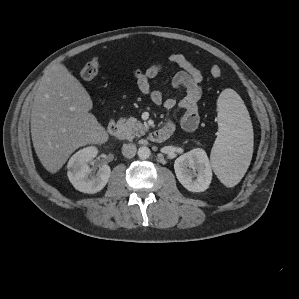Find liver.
I'll list each match as a JSON object with an SVG mask.
<instances>
[{"mask_svg": "<svg viewBox=\"0 0 299 299\" xmlns=\"http://www.w3.org/2000/svg\"><path fill=\"white\" fill-rule=\"evenodd\" d=\"M90 95L63 64L51 66L35 93L31 136L44 168L54 174L79 147L108 140L105 128L89 113Z\"/></svg>", "mask_w": 299, "mask_h": 299, "instance_id": "obj_1", "label": "liver"}]
</instances>
